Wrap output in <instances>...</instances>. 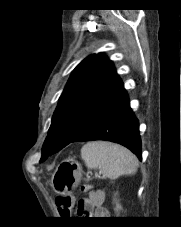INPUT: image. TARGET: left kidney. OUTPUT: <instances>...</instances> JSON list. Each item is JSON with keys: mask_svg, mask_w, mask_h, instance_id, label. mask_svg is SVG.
I'll list each match as a JSON object with an SVG mask.
<instances>
[{"mask_svg": "<svg viewBox=\"0 0 181 227\" xmlns=\"http://www.w3.org/2000/svg\"><path fill=\"white\" fill-rule=\"evenodd\" d=\"M115 204H116V206H115V212L117 213V214H119V212L121 211V210H123V208H122V206H121V204L119 203V201L116 199L115 200Z\"/></svg>", "mask_w": 181, "mask_h": 227, "instance_id": "obj_1", "label": "left kidney"}]
</instances>
